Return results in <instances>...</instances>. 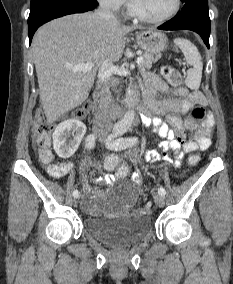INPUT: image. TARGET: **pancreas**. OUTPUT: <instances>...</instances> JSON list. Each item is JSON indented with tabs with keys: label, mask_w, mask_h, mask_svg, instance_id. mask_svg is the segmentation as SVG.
Returning <instances> with one entry per match:
<instances>
[{
	"label": "pancreas",
	"mask_w": 233,
	"mask_h": 284,
	"mask_svg": "<svg viewBox=\"0 0 233 284\" xmlns=\"http://www.w3.org/2000/svg\"><path fill=\"white\" fill-rule=\"evenodd\" d=\"M141 57L143 58V62L139 64V69L143 72L146 69H150L152 67V64L158 61L161 55L157 54L156 56H154L150 53H144Z\"/></svg>",
	"instance_id": "1"
}]
</instances>
